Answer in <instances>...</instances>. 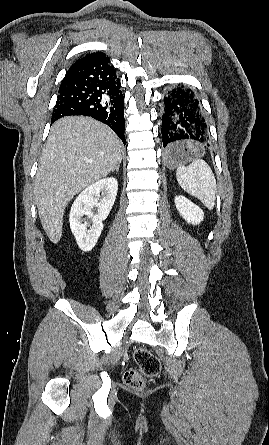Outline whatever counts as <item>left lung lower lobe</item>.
<instances>
[{
	"label": "left lung lower lobe",
	"instance_id": "left-lung-lower-lobe-1",
	"mask_svg": "<svg viewBox=\"0 0 269 445\" xmlns=\"http://www.w3.org/2000/svg\"><path fill=\"white\" fill-rule=\"evenodd\" d=\"M162 114V141L166 154L182 149L183 143L209 141V127L196 94L178 86L165 95Z\"/></svg>",
	"mask_w": 269,
	"mask_h": 445
}]
</instances>
